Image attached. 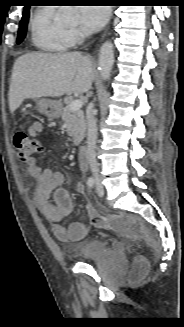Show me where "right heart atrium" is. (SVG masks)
Here are the masks:
<instances>
[{"label":"right heart atrium","mask_w":184,"mask_h":327,"mask_svg":"<svg viewBox=\"0 0 184 327\" xmlns=\"http://www.w3.org/2000/svg\"><path fill=\"white\" fill-rule=\"evenodd\" d=\"M70 36L74 45L79 44L83 38L82 32L77 29L70 30Z\"/></svg>","instance_id":"right-heart-atrium-1"}]
</instances>
